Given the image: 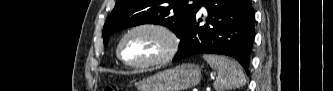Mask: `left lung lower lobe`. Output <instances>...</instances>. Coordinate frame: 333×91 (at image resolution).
Masks as SVG:
<instances>
[{"label":"left lung lower lobe","instance_id":"obj_1","mask_svg":"<svg viewBox=\"0 0 333 91\" xmlns=\"http://www.w3.org/2000/svg\"><path fill=\"white\" fill-rule=\"evenodd\" d=\"M205 6L207 24L197 12ZM255 13L250 0H202L181 34L173 61L200 53L223 54L235 58L248 71L254 39Z\"/></svg>","mask_w":333,"mask_h":91}]
</instances>
